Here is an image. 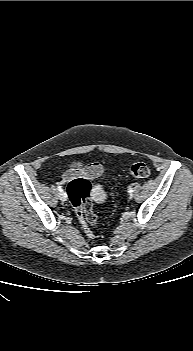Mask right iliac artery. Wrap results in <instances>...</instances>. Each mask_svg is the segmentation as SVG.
Here are the masks:
<instances>
[{
	"label": "right iliac artery",
	"instance_id": "1",
	"mask_svg": "<svg viewBox=\"0 0 193 351\" xmlns=\"http://www.w3.org/2000/svg\"><path fill=\"white\" fill-rule=\"evenodd\" d=\"M57 189H58L60 192H62V191H63V189H62V187H61V186H58V187H57Z\"/></svg>",
	"mask_w": 193,
	"mask_h": 351
}]
</instances>
